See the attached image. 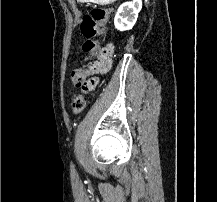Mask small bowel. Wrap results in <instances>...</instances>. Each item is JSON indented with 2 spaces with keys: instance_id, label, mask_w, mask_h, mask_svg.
Returning a JSON list of instances; mask_svg holds the SVG:
<instances>
[{
  "instance_id": "1",
  "label": "small bowel",
  "mask_w": 217,
  "mask_h": 202,
  "mask_svg": "<svg viewBox=\"0 0 217 202\" xmlns=\"http://www.w3.org/2000/svg\"><path fill=\"white\" fill-rule=\"evenodd\" d=\"M114 47L111 44L97 50L98 61L94 64V69L99 73H104L111 69L113 64Z\"/></svg>"
}]
</instances>
